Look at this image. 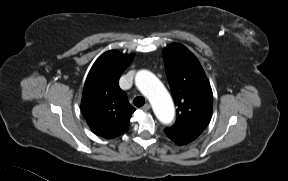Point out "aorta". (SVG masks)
Segmentation results:
<instances>
[{"label": "aorta", "instance_id": "obj_1", "mask_svg": "<svg viewBox=\"0 0 288 181\" xmlns=\"http://www.w3.org/2000/svg\"><path fill=\"white\" fill-rule=\"evenodd\" d=\"M135 84L152 104L154 113L163 124L174 118V105L170 94L162 82L150 71L140 70L135 76Z\"/></svg>", "mask_w": 288, "mask_h": 181}]
</instances>
